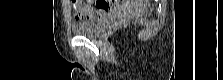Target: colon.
Wrapping results in <instances>:
<instances>
[{
	"label": "colon",
	"mask_w": 223,
	"mask_h": 80,
	"mask_svg": "<svg viewBox=\"0 0 223 80\" xmlns=\"http://www.w3.org/2000/svg\"><path fill=\"white\" fill-rule=\"evenodd\" d=\"M75 1V0H74ZM75 2H78V1H75ZM78 3H81V2H78ZM81 4H83V3H81ZM84 15L86 14V13H83Z\"/></svg>",
	"instance_id": "5ec220e1"
}]
</instances>
